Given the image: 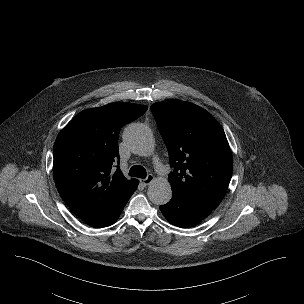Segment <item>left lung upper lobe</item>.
<instances>
[{
  "label": "left lung upper lobe",
  "instance_id": "1",
  "mask_svg": "<svg viewBox=\"0 0 304 304\" xmlns=\"http://www.w3.org/2000/svg\"><path fill=\"white\" fill-rule=\"evenodd\" d=\"M168 149L172 194L216 209L228 188L233 164L230 147L218 121L205 109L169 100L151 106Z\"/></svg>",
  "mask_w": 304,
  "mask_h": 304
}]
</instances>
